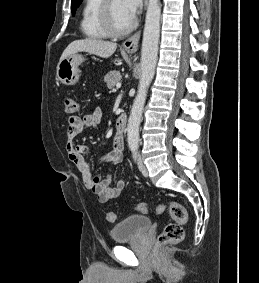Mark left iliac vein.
Returning a JSON list of instances; mask_svg holds the SVG:
<instances>
[{
    "label": "left iliac vein",
    "instance_id": "obj_1",
    "mask_svg": "<svg viewBox=\"0 0 259 283\" xmlns=\"http://www.w3.org/2000/svg\"><path fill=\"white\" fill-rule=\"evenodd\" d=\"M137 164H138V168L142 172V174L144 176H147V174H148L147 168H146L145 164L143 163V159L140 155L138 156Z\"/></svg>",
    "mask_w": 259,
    "mask_h": 283
}]
</instances>
